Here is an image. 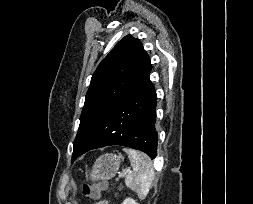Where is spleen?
<instances>
[{"instance_id":"obj_1","label":"spleen","mask_w":253,"mask_h":204,"mask_svg":"<svg viewBox=\"0 0 253 204\" xmlns=\"http://www.w3.org/2000/svg\"><path fill=\"white\" fill-rule=\"evenodd\" d=\"M133 171L128 173L125 178V184L135 191L140 198H144L149 193L152 181L154 179V169L151 159L145 153L134 149L125 148Z\"/></svg>"}]
</instances>
